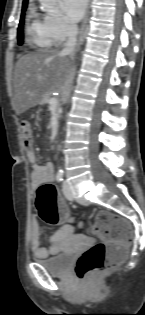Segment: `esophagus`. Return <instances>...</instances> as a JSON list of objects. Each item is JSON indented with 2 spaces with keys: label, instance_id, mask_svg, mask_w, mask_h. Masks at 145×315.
I'll list each match as a JSON object with an SVG mask.
<instances>
[{
  "label": "esophagus",
  "instance_id": "obj_1",
  "mask_svg": "<svg viewBox=\"0 0 145 315\" xmlns=\"http://www.w3.org/2000/svg\"><path fill=\"white\" fill-rule=\"evenodd\" d=\"M90 7H91V0H87V6H86V12L79 30V35L77 38V47L81 44L84 34L86 32L87 29V25H88V20H89V15H90Z\"/></svg>",
  "mask_w": 145,
  "mask_h": 315
}]
</instances>
